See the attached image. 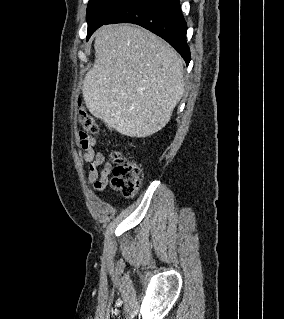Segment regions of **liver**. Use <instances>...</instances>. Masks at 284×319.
I'll return each mask as SVG.
<instances>
[{"mask_svg": "<svg viewBox=\"0 0 284 319\" xmlns=\"http://www.w3.org/2000/svg\"><path fill=\"white\" fill-rule=\"evenodd\" d=\"M82 94L89 112L121 134L144 138L166 126L184 92L183 60L141 27L104 25Z\"/></svg>", "mask_w": 284, "mask_h": 319, "instance_id": "liver-1", "label": "liver"}]
</instances>
